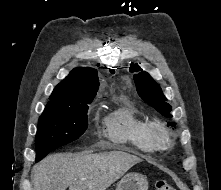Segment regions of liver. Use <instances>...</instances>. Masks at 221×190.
I'll return each instance as SVG.
<instances>
[{"mask_svg": "<svg viewBox=\"0 0 221 190\" xmlns=\"http://www.w3.org/2000/svg\"><path fill=\"white\" fill-rule=\"evenodd\" d=\"M140 162L123 151L51 154L33 167V190H106Z\"/></svg>", "mask_w": 221, "mask_h": 190, "instance_id": "6515ba94", "label": "liver"}]
</instances>
